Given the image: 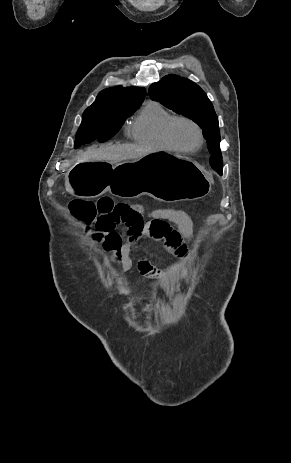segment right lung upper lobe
Listing matches in <instances>:
<instances>
[{
    "label": "right lung upper lobe",
    "mask_w": 291,
    "mask_h": 463,
    "mask_svg": "<svg viewBox=\"0 0 291 463\" xmlns=\"http://www.w3.org/2000/svg\"><path fill=\"white\" fill-rule=\"evenodd\" d=\"M145 94V89L140 87L123 88L116 86L108 88L101 91L95 102L87 109L99 107L127 108L131 105L141 103Z\"/></svg>",
    "instance_id": "right-lung-upper-lobe-1"
}]
</instances>
